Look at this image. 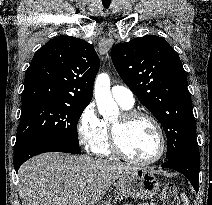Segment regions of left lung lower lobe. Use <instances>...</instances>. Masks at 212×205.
<instances>
[{
  "mask_svg": "<svg viewBox=\"0 0 212 205\" xmlns=\"http://www.w3.org/2000/svg\"><path fill=\"white\" fill-rule=\"evenodd\" d=\"M162 168H171L185 175L191 182L195 191L198 192L199 150L197 145L178 157L169 159L162 165Z\"/></svg>",
  "mask_w": 212,
  "mask_h": 205,
  "instance_id": "1",
  "label": "left lung lower lobe"
}]
</instances>
